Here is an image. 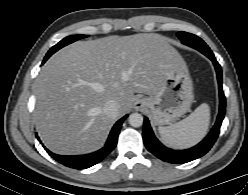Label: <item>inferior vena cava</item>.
I'll list each match as a JSON object with an SVG mask.
<instances>
[{
  "instance_id": "1",
  "label": "inferior vena cava",
  "mask_w": 248,
  "mask_h": 195,
  "mask_svg": "<svg viewBox=\"0 0 248 195\" xmlns=\"http://www.w3.org/2000/svg\"><path fill=\"white\" fill-rule=\"evenodd\" d=\"M103 112L108 117L116 118L119 114L118 102L116 100H108L103 107Z\"/></svg>"
}]
</instances>
